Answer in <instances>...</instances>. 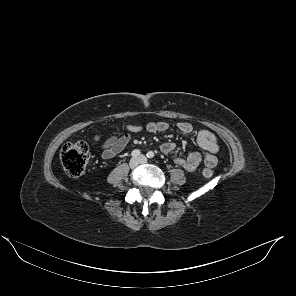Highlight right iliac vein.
Here are the masks:
<instances>
[{
	"label": "right iliac vein",
	"instance_id": "right-iliac-vein-1",
	"mask_svg": "<svg viewBox=\"0 0 296 296\" xmlns=\"http://www.w3.org/2000/svg\"><path fill=\"white\" fill-rule=\"evenodd\" d=\"M140 163V160L138 158H132L129 162L130 168H135Z\"/></svg>",
	"mask_w": 296,
	"mask_h": 296
}]
</instances>
